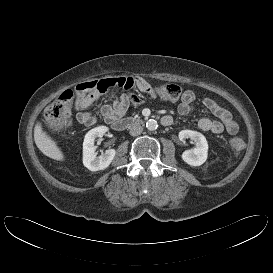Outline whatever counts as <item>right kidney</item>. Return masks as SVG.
Returning a JSON list of instances; mask_svg holds the SVG:
<instances>
[{
	"mask_svg": "<svg viewBox=\"0 0 273 273\" xmlns=\"http://www.w3.org/2000/svg\"><path fill=\"white\" fill-rule=\"evenodd\" d=\"M108 131L106 126H99L91 129L84 138L83 142V164L90 171H98L106 169L113 161L116 150H106L101 156H97L95 139L97 137H103Z\"/></svg>",
	"mask_w": 273,
	"mask_h": 273,
	"instance_id": "right-kidney-1",
	"label": "right kidney"
}]
</instances>
